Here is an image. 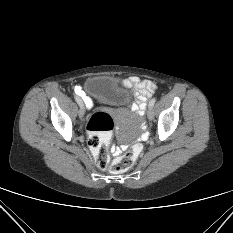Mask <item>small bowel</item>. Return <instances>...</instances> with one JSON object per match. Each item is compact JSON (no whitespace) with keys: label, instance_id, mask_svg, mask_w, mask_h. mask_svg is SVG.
<instances>
[{"label":"small bowel","instance_id":"small-bowel-1","mask_svg":"<svg viewBox=\"0 0 233 233\" xmlns=\"http://www.w3.org/2000/svg\"><path fill=\"white\" fill-rule=\"evenodd\" d=\"M129 84L135 89L136 103L131 106V109L140 115L143 114L147 100L152 96L156 89L154 82L147 79H140L139 77L132 76L129 78ZM74 92L83 98L86 106L92 108V101L86 96L83 88L80 85L74 87ZM112 153L117 156L121 153V148L114 146L112 147Z\"/></svg>","mask_w":233,"mask_h":233}]
</instances>
